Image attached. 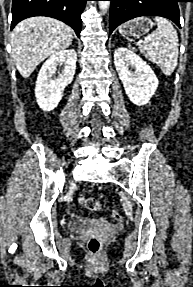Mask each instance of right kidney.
<instances>
[{
    "label": "right kidney",
    "instance_id": "obj_1",
    "mask_svg": "<svg viewBox=\"0 0 193 287\" xmlns=\"http://www.w3.org/2000/svg\"><path fill=\"white\" fill-rule=\"evenodd\" d=\"M76 60L74 50H64L51 55L42 65L36 81L35 96L43 111L53 110L61 101L64 88L73 80ZM58 66H63L62 73L53 80Z\"/></svg>",
    "mask_w": 193,
    "mask_h": 287
}]
</instances>
